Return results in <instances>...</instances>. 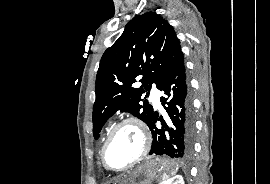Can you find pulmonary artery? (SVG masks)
<instances>
[{"label": "pulmonary artery", "instance_id": "obj_1", "mask_svg": "<svg viewBox=\"0 0 270 184\" xmlns=\"http://www.w3.org/2000/svg\"><path fill=\"white\" fill-rule=\"evenodd\" d=\"M150 98L156 107L160 106V96H159V92L156 89L151 90Z\"/></svg>", "mask_w": 270, "mask_h": 184}]
</instances>
